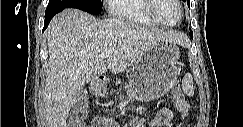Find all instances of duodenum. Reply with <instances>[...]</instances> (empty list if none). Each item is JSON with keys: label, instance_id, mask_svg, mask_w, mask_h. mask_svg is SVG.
<instances>
[{"label": "duodenum", "instance_id": "1", "mask_svg": "<svg viewBox=\"0 0 243 127\" xmlns=\"http://www.w3.org/2000/svg\"><path fill=\"white\" fill-rule=\"evenodd\" d=\"M107 83H108V80H107L106 76L105 75H99L97 77V80L94 83V88L101 89L104 86H106Z\"/></svg>", "mask_w": 243, "mask_h": 127}]
</instances>
